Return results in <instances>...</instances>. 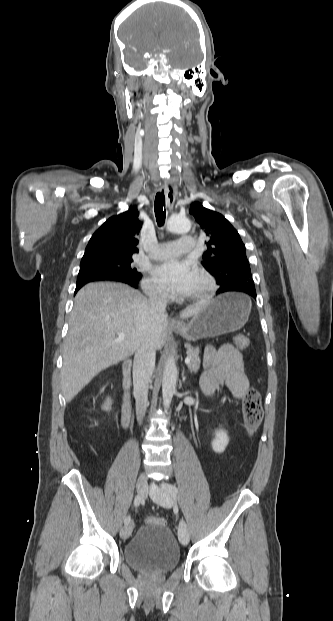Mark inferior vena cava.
<instances>
[{
    "label": "inferior vena cava",
    "mask_w": 333,
    "mask_h": 621,
    "mask_svg": "<svg viewBox=\"0 0 333 621\" xmlns=\"http://www.w3.org/2000/svg\"><path fill=\"white\" fill-rule=\"evenodd\" d=\"M149 303L158 314H165L167 295L157 293L150 296ZM156 350L152 342L145 339L135 352L133 364V385L136 399L137 421L141 424L148 402V387L150 377L155 368Z\"/></svg>",
    "instance_id": "inferior-vena-cava-1"
}]
</instances>
